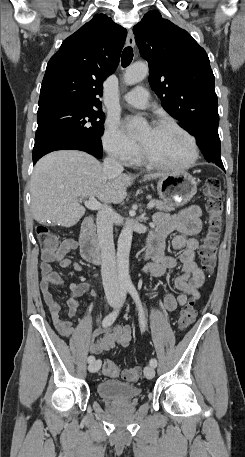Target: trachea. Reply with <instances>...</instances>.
Wrapping results in <instances>:
<instances>
[{"label":"trachea","mask_w":245,"mask_h":457,"mask_svg":"<svg viewBox=\"0 0 245 457\" xmlns=\"http://www.w3.org/2000/svg\"><path fill=\"white\" fill-rule=\"evenodd\" d=\"M133 59V50L132 47H126L123 50L122 56H121V63L123 67H128V65L132 62Z\"/></svg>","instance_id":"3493384b"}]
</instances>
